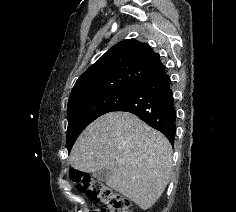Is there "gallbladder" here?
Here are the masks:
<instances>
[{
	"mask_svg": "<svg viewBox=\"0 0 236 212\" xmlns=\"http://www.w3.org/2000/svg\"><path fill=\"white\" fill-rule=\"evenodd\" d=\"M111 176V172L108 168H103L93 173V177L99 181H107Z\"/></svg>",
	"mask_w": 236,
	"mask_h": 212,
	"instance_id": "obj_1",
	"label": "gallbladder"
}]
</instances>
